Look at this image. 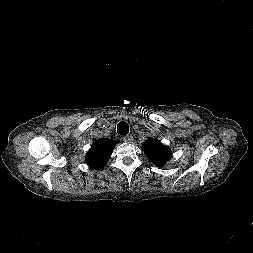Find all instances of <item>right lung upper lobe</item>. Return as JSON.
Listing matches in <instances>:
<instances>
[{"label":"right lung upper lobe","mask_w":253,"mask_h":253,"mask_svg":"<svg viewBox=\"0 0 253 253\" xmlns=\"http://www.w3.org/2000/svg\"><path fill=\"white\" fill-rule=\"evenodd\" d=\"M116 141L107 138H100L94 142L86 155L87 164L92 169H101L109 160Z\"/></svg>","instance_id":"1"}]
</instances>
